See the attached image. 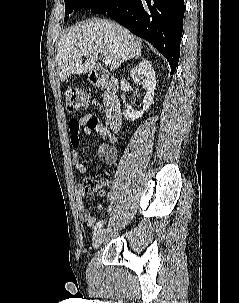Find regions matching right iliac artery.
Listing matches in <instances>:
<instances>
[{"mask_svg":"<svg viewBox=\"0 0 239 303\" xmlns=\"http://www.w3.org/2000/svg\"><path fill=\"white\" fill-rule=\"evenodd\" d=\"M105 221L101 220V221H98L94 227V232H96L97 230L101 229L104 225Z\"/></svg>","mask_w":239,"mask_h":303,"instance_id":"obj_1","label":"right iliac artery"}]
</instances>
